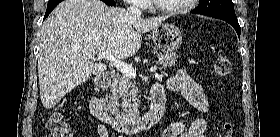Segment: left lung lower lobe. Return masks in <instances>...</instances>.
<instances>
[{
	"label": "left lung lower lobe",
	"instance_id": "left-lung-lower-lobe-1",
	"mask_svg": "<svg viewBox=\"0 0 280 137\" xmlns=\"http://www.w3.org/2000/svg\"><path fill=\"white\" fill-rule=\"evenodd\" d=\"M194 14H199V13H195L193 12ZM205 15H208V16H211V17H214V18H217V19H222L224 21H226L227 23H229L237 32L238 34V37L240 38V26H239V23H238V20H237V17H228V16H223V15H215V14H205Z\"/></svg>",
	"mask_w": 280,
	"mask_h": 137
}]
</instances>
